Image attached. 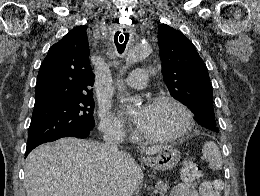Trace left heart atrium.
<instances>
[{
  "mask_svg": "<svg viewBox=\"0 0 260 196\" xmlns=\"http://www.w3.org/2000/svg\"><path fill=\"white\" fill-rule=\"evenodd\" d=\"M147 114V106H144L139 112L133 117L132 121L137 128L142 129L145 123ZM94 192H117V190H96Z\"/></svg>",
  "mask_w": 260,
  "mask_h": 196,
  "instance_id": "1",
  "label": "left heart atrium"
}]
</instances>
